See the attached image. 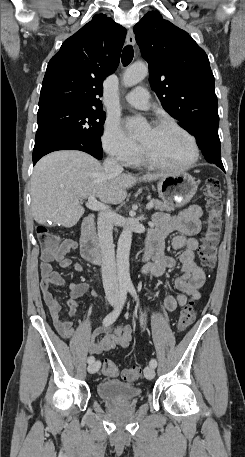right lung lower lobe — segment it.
Wrapping results in <instances>:
<instances>
[{
	"label": "right lung lower lobe",
	"mask_w": 245,
	"mask_h": 457,
	"mask_svg": "<svg viewBox=\"0 0 245 457\" xmlns=\"http://www.w3.org/2000/svg\"><path fill=\"white\" fill-rule=\"evenodd\" d=\"M57 150H80L89 153L88 150L80 143L62 139L51 140L38 144L34 147L33 164H36V162L44 155Z\"/></svg>",
	"instance_id": "98d812e1"
}]
</instances>
